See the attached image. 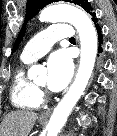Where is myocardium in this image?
I'll return each mask as SVG.
<instances>
[{
  "label": "myocardium",
  "instance_id": "obj_1",
  "mask_svg": "<svg viewBox=\"0 0 117 136\" xmlns=\"http://www.w3.org/2000/svg\"><path fill=\"white\" fill-rule=\"evenodd\" d=\"M36 86H37V88H38L39 90H41V91H43V92L45 91L44 85L37 84Z\"/></svg>",
  "mask_w": 117,
  "mask_h": 136
}]
</instances>
